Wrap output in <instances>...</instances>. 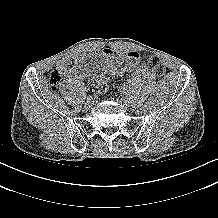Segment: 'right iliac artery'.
Listing matches in <instances>:
<instances>
[{"instance_id":"obj_1","label":"right iliac artery","mask_w":218,"mask_h":218,"mask_svg":"<svg viewBox=\"0 0 218 218\" xmlns=\"http://www.w3.org/2000/svg\"><path fill=\"white\" fill-rule=\"evenodd\" d=\"M94 94L92 93V92H89L88 93V97L90 98V97H92Z\"/></svg>"}]
</instances>
